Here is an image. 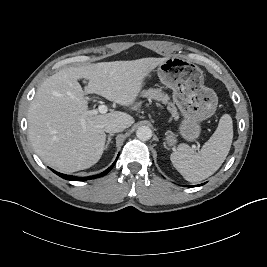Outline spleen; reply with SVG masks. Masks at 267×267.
<instances>
[{"instance_id": "obj_1", "label": "spleen", "mask_w": 267, "mask_h": 267, "mask_svg": "<svg viewBox=\"0 0 267 267\" xmlns=\"http://www.w3.org/2000/svg\"><path fill=\"white\" fill-rule=\"evenodd\" d=\"M233 140V122L224 114L210 139L195 153L188 145L181 144L170 155L176 170L189 182H199L213 175L225 161Z\"/></svg>"}]
</instances>
